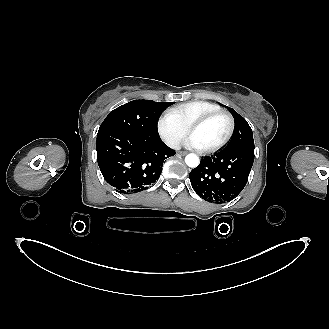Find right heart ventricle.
I'll return each instance as SVG.
<instances>
[{"instance_id":"obj_1","label":"right heart ventricle","mask_w":329,"mask_h":329,"mask_svg":"<svg viewBox=\"0 0 329 329\" xmlns=\"http://www.w3.org/2000/svg\"><path fill=\"white\" fill-rule=\"evenodd\" d=\"M218 110H221V107L216 103L196 100L179 104L171 108L169 111L174 114L186 128H188L194 120Z\"/></svg>"}]
</instances>
